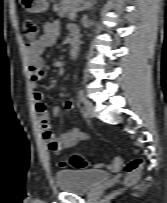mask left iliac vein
<instances>
[{
	"label": "left iliac vein",
	"mask_w": 167,
	"mask_h": 203,
	"mask_svg": "<svg viewBox=\"0 0 167 203\" xmlns=\"http://www.w3.org/2000/svg\"><path fill=\"white\" fill-rule=\"evenodd\" d=\"M85 110L88 116H90L91 118L95 117V107L93 103L87 101L85 103Z\"/></svg>",
	"instance_id": "obj_1"
}]
</instances>
